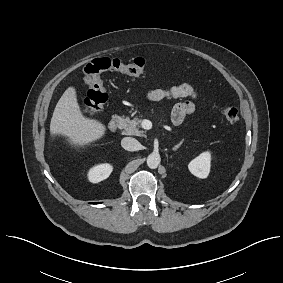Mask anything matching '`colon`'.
<instances>
[{"label": "colon", "instance_id": "obj_1", "mask_svg": "<svg viewBox=\"0 0 283 283\" xmlns=\"http://www.w3.org/2000/svg\"><path fill=\"white\" fill-rule=\"evenodd\" d=\"M107 71H116L128 76L138 77L145 71V60L135 58L133 60H122L119 58L101 57L88 63L84 70V80L89 87L84 100V111L89 115L100 112L107 101L108 95L102 79V74ZM223 117L229 123H237L239 113L237 108L227 105L222 109Z\"/></svg>", "mask_w": 283, "mask_h": 283}]
</instances>
